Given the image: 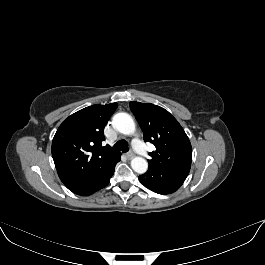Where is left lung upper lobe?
I'll list each match as a JSON object with an SVG mask.
<instances>
[{
	"label": "left lung upper lobe",
	"mask_w": 265,
	"mask_h": 265,
	"mask_svg": "<svg viewBox=\"0 0 265 265\" xmlns=\"http://www.w3.org/2000/svg\"><path fill=\"white\" fill-rule=\"evenodd\" d=\"M130 109L139 122L144 141L156 147L149 153V169L189 171L192 147L178 121L167 110L151 103L132 101Z\"/></svg>",
	"instance_id": "left-lung-upper-lobe-1"
}]
</instances>
